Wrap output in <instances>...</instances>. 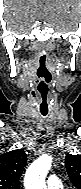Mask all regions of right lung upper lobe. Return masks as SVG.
Masks as SVG:
<instances>
[{
    "mask_svg": "<svg viewBox=\"0 0 81 189\" xmlns=\"http://www.w3.org/2000/svg\"><path fill=\"white\" fill-rule=\"evenodd\" d=\"M27 155L24 150H12L0 155V189H19V178L24 170Z\"/></svg>",
    "mask_w": 81,
    "mask_h": 189,
    "instance_id": "right-lung-upper-lobe-1",
    "label": "right lung upper lobe"
}]
</instances>
